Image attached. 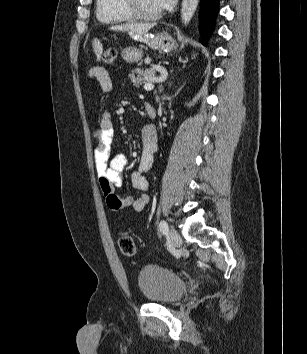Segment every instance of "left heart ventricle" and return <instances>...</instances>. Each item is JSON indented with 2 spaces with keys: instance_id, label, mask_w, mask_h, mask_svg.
<instances>
[{
  "instance_id": "1",
  "label": "left heart ventricle",
  "mask_w": 307,
  "mask_h": 354,
  "mask_svg": "<svg viewBox=\"0 0 307 354\" xmlns=\"http://www.w3.org/2000/svg\"><path fill=\"white\" fill-rule=\"evenodd\" d=\"M137 5L141 11L147 14H154L160 12L156 0H136Z\"/></svg>"
}]
</instances>
